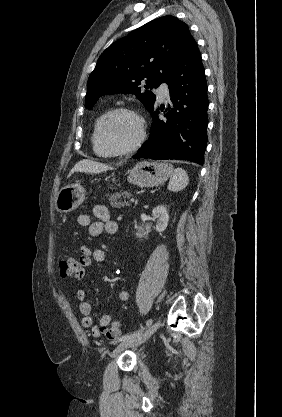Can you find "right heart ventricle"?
<instances>
[{"label": "right heart ventricle", "instance_id": "1", "mask_svg": "<svg viewBox=\"0 0 282 417\" xmlns=\"http://www.w3.org/2000/svg\"><path fill=\"white\" fill-rule=\"evenodd\" d=\"M108 114V112L104 113L103 115H101L95 124V128H94V133H93V144H94V149L95 151L101 155V156H107L109 155V153H107L104 148L101 146L100 143V125L103 121V119L105 118V116Z\"/></svg>", "mask_w": 282, "mask_h": 417}]
</instances>
